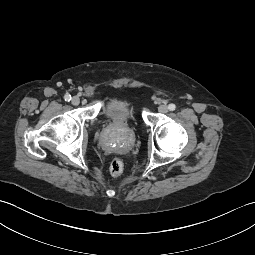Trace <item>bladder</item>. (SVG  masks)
<instances>
[{"instance_id":"obj_1","label":"bladder","mask_w":255,"mask_h":255,"mask_svg":"<svg viewBox=\"0 0 255 255\" xmlns=\"http://www.w3.org/2000/svg\"><path fill=\"white\" fill-rule=\"evenodd\" d=\"M102 118L110 123L126 124L136 120L137 112L133 104L124 98H111L104 102Z\"/></svg>"}]
</instances>
